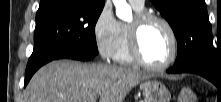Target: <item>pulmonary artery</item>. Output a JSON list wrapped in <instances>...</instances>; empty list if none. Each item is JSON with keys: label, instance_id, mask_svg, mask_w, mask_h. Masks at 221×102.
Returning a JSON list of instances; mask_svg holds the SVG:
<instances>
[{"label": "pulmonary artery", "instance_id": "obj_1", "mask_svg": "<svg viewBox=\"0 0 221 102\" xmlns=\"http://www.w3.org/2000/svg\"><path fill=\"white\" fill-rule=\"evenodd\" d=\"M129 2L137 8H143L145 3L144 0H129Z\"/></svg>", "mask_w": 221, "mask_h": 102}]
</instances>
